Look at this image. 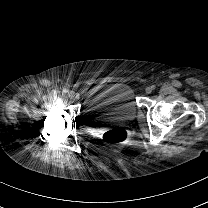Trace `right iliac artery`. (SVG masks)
Returning a JSON list of instances; mask_svg holds the SVG:
<instances>
[{"instance_id":"82829eb1","label":"right iliac artery","mask_w":208,"mask_h":208,"mask_svg":"<svg viewBox=\"0 0 208 208\" xmlns=\"http://www.w3.org/2000/svg\"><path fill=\"white\" fill-rule=\"evenodd\" d=\"M63 93L64 94L68 93V90L67 89H63Z\"/></svg>"}]
</instances>
